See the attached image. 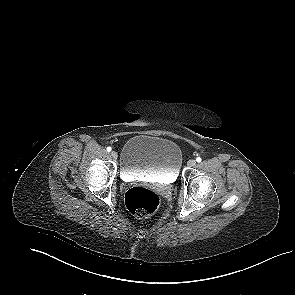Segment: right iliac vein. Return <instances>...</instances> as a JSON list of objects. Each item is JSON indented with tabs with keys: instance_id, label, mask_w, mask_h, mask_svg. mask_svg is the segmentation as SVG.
<instances>
[{
	"instance_id": "obj_1",
	"label": "right iliac vein",
	"mask_w": 295,
	"mask_h": 295,
	"mask_svg": "<svg viewBox=\"0 0 295 295\" xmlns=\"http://www.w3.org/2000/svg\"><path fill=\"white\" fill-rule=\"evenodd\" d=\"M110 155L113 159H117V157H118V154L116 151H112Z\"/></svg>"
}]
</instances>
